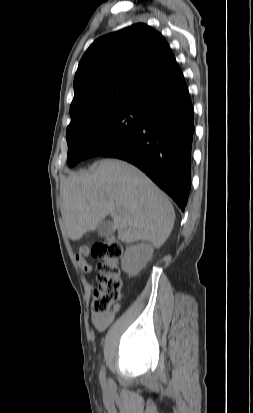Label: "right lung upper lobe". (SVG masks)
I'll use <instances>...</instances> for the list:
<instances>
[{"mask_svg": "<svg viewBox=\"0 0 253 413\" xmlns=\"http://www.w3.org/2000/svg\"><path fill=\"white\" fill-rule=\"evenodd\" d=\"M188 94L184 76L164 37L138 23L91 44L74 78L70 116L74 120L109 107H134L180 100Z\"/></svg>", "mask_w": 253, "mask_h": 413, "instance_id": "right-lung-upper-lobe-1", "label": "right lung upper lobe"}]
</instances>
